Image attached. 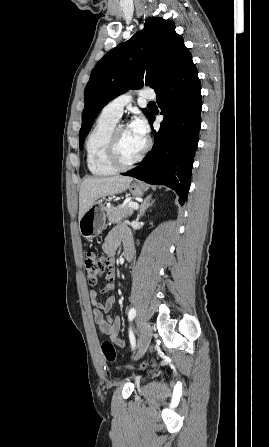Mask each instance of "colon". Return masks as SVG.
I'll return each instance as SVG.
<instances>
[{
  "label": "colon",
  "mask_w": 269,
  "mask_h": 447,
  "mask_svg": "<svg viewBox=\"0 0 269 447\" xmlns=\"http://www.w3.org/2000/svg\"><path fill=\"white\" fill-rule=\"evenodd\" d=\"M106 263V257L101 252L89 251L84 256L83 267L85 278L91 286H95L99 283L106 267ZM101 351L108 362L113 363L116 361L117 350L111 342H103ZM120 371H123V368H121Z\"/></svg>",
  "instance_id": "1"
}]
</instances>
